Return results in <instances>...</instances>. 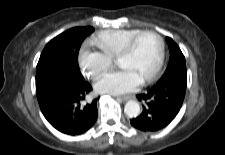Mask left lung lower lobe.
Wrapping results in <instances>:
<instances>
[{
    "mask_svg": "<svg viewBox=\"0 0 225 155\" xmlns=\"http://www.w3.org/2000/svg\"><path fill=\"white\" fill-rule=\"evenodd\" d=\"M186 92V85L176 80L158 81L148 93L137 95L146 105L133 127L142 131H158L166 127L178 114Z\"/></svg>",
    "mask_w": 225,
    "mask_h": 155,
    "instance_id": "0a47b994",
    "label": "left lung lower lobe"
}]
</instances>
